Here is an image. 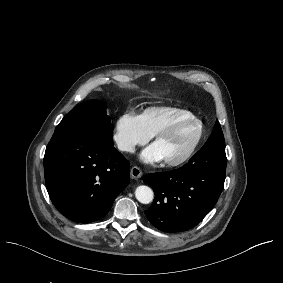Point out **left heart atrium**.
Masks as SVG:
<instances>
[{
	"label": "left heart atrium",
	"mask_w": 283,
	"mask_h": 283,
	"mask_svg": "<svg viewBox=\"0 0 283 283\" xmlns=\"http://www.w3.org/2000/svg\"><path fill=\"white\" fill-rule=\"evenodd\" d=\"M141 162L145 164H155L164 161V155L158 142H153L145 147L139 155Z\"/></svg>",
	"instance_id": "1"
}]
</instances>
